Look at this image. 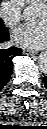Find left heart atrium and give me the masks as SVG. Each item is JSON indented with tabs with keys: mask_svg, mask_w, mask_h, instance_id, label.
<instances>
[{
	"mask_svg": "<svg viewBox=\"0 0 47 129\" xmlns=\"http://www.w3.org/2000/svg\"><path fill=\"white\" fill-rule=\"evenodd\" d=\"M13 41L22 47L38 49L47 41V25L45 21L26 23L13 31Z\"/></svg>",
	"mask_w": 47,
	"mask_h": 129,
	"instance_id": "39dd6f15",
	"label": "left heart atrium"
}]
</instances>
